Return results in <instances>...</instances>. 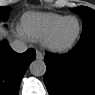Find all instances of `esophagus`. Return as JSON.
I'll return each mask as SVG.
<instances>
[{"instance_id": "1", "label": "esophagus", "mask_w": 95, "mask_h": 95, "mask_svg": "<svg viewBox=\"0 0 95 95\" xmlns=\"http://www.w3.org/2000/svg\"><path fill=\"white\" fill-rule=\"evenodd\" d=\"M36 59L37 60H43L44 59L43 54L39 50H36Z\"/></svg>"}]
</instances>
